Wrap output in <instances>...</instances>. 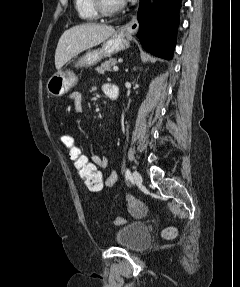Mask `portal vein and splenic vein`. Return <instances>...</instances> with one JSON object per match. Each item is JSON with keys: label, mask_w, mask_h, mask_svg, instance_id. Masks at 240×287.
Instances as JSON below:
<instances>
[{"label": "portal vein and splenic vein", "mask_w": 240, "mask_h": 287, "mask_svg": "<svg viewBox=\"0 0 240 287\" xmlns=\"http://www.w3.org/2000/svg\"><path fill=\"white\" fill-rule=\"evenodd\" d=\"M118 69H119L118 66H114V67H113V70H114L115 72L118 71Z\"/></svg>", "instance_id": "portal-vein-and-splenic-vein-1"}]
</instances>
